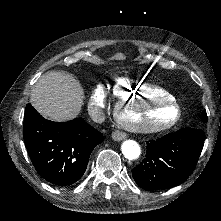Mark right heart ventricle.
Masks as SVG:
<instances>
[{
    "label": "right heart ventricle",
    "instance_id": "e07e8e85",
    "mask_svg": "<svg viewBox=\"0 0 221 221\" xmlns=\"http://www.w3.org/2000/svg\"><path fill=\"white\" fill-rule=\"evenodd\" d=\"M111 90L117 98H125L131 96L134 100L141 97H147L149 100L170 99L173 91L170 88H160L157 84H150L147 80L120 76L113 81Z\"/></svg>",
    "mask_w": 221,
    "mask_h": 221
}]
</instances>
